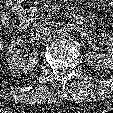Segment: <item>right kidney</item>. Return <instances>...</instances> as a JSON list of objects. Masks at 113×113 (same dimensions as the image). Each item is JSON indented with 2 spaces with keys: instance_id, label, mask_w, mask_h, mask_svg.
I'll list each match as a JSON object with an SVG mask.
<instances>
[{
  "instance_id": "ca27d5eb",
  "label": "right kidney",
  "mask_w": 113,
  "mask_h": 113,
  "mask_svg": "<svg viewBox=\"0 0 113 113\" xmlns=\"http://www.w3.org/2000/svg\"><path fill=\"white\" fill-rule=\"evenodd\" d=\"M24 44L25 41L22 37H17L8 46L6 54L7 65L11 72L16 74L33 71L38 63L37 53H32L27 60H23L21 48H23Z\"/></svg>"
}]
</instances>
